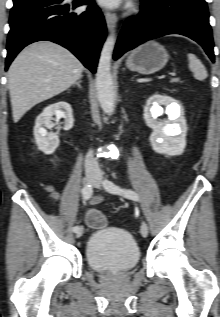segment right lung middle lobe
I'll return each instance as SVG.
<instances>
[{
  "mask_svg": "<svg viewBox=\"0 0 220 317\" xmlns=\"http://www.w3.org/2000/svg\"><path fill=\"white\" fill-rule=\"evenodd\" d=\"M20 1H23V0H13L14 3H18Z\"/></svg>",
  "mask_w": 220,
  "mask_h": 317,
  "instance_id": "dd1d6c3e",
  "label": "right lung middle lobe"
}]
</instances>
